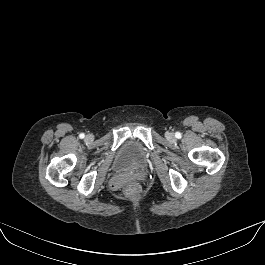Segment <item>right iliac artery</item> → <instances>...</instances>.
I'll return each mask as SVG.
<instances>
[{
    "label": "right iliac artery",
    "mask_w": 265,
    "mask_h": 265,
    "mask_svg": "<svg viewBox=\"0 0 265 265\" xmlns=\"http://www.w3.org/2000/svg\"><path fill=\"white\" fill-rule=\"evenodd\" d=\"M79 137H80L81 139H83V138L85 137L84 133H81V134L79 135Z\"/></svg>",
    "instance_id": "obj_1"
}]
</instances>
